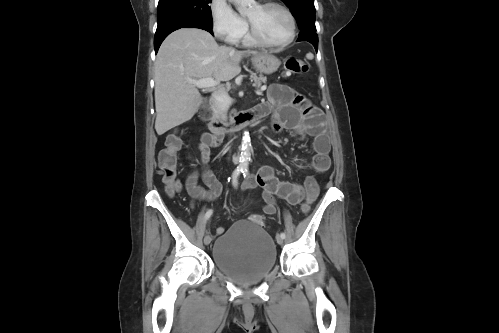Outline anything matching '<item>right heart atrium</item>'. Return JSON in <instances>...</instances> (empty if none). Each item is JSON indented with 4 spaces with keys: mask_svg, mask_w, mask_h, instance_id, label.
I'll list each match as a JSON object with an SVG mask.
<instances>
[{
    "mask_svg": "<svg viewBox=\"0 0 499 333\" xmlns=\"http://www.w3.org/2000/svg\"><path fill=\"white\" fill-rule=\"evenodd\" d=\"M210 18L214 34L219 39L236 43L246 31L247 24L226 2V0H211Z\"/></svg>",
    "mask_w": 499,
    "mask_h": 333,
    "instance_id": "d8ad5b80",
    "label": "right heart atrium"
}]
</instances>
